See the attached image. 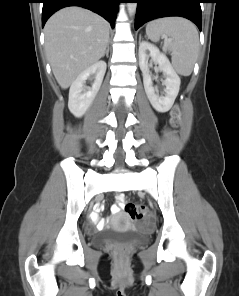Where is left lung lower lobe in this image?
<instances>
[{
    "label": "left lung lower lobe",
    "mask_w": 239,
    "mask_h": 296,
    "mask_svg": "<svg viewBox=\"0 0 239 296\" xmlns=\"http://www.w3.org/2000/svg\"><path fill=\"white\" fill-rule=\"evenodd\" d=\"M138 3L135 29L144 23L162 17L180 16L194 22L199 30L202 28L200 3L202 0H131Z\"/></svg>",
    "instance_id": "1"
}]
</instances>
